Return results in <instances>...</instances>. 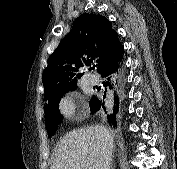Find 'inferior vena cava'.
<instances>
[{
	"label": "inferior vena cava",
	"mask_w": 177,
	"mask_h": 169,
	"mask_svg": "<svg viewBox=\"0 0 177 169\" xmlns=\"http://www.w3.org/2000/svg\"><path fill=\"white\" fill-rule=\"evenodd\" d=\"M95 133L100 141L101 156H102V169H111L112 163V150L114 147L113 137L103 126H95Z\"/></svg>",
	"instance_id": "1"
}]
</instances>
